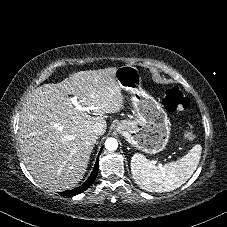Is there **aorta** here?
<instances>
[{
    "label": "aorta",
    "mask_w": 227,
    "mask_h": 227,
    "mask_svg": "<svg viewBox=\"0 0 227 227\" xmlns=\"http://www.w3.org/2000/svg\"><path fill=\"white\" fill-rule=\"evenodd\" d=\"M118 147V142L115 138H108L106 141H105V148L108 150V151H114L116 150Z\"/></svg>",
    "instance_id": "obj_1"
}]
</instances>
